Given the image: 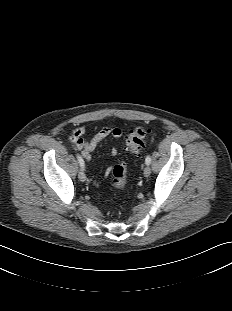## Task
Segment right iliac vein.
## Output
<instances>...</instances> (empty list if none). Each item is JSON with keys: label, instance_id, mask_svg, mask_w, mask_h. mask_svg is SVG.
<instances>
[{"label": "right iliac vein", "instance_id": "1", "mask_svg": "<svg viewBox=\"0 0 232 311\" xmlns=\"http://www.w3.org/2000/svg\"><path fill=\"white\" fill-rule=\"evenodd\" d=\"M78 177H79L80 181H82V182L86 181V179H87L83 170H80Z\"/></svg>", "mask_w": 232, "mask_h": 311}]
</instances>
